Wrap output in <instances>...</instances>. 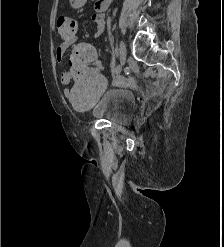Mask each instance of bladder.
I'll list each match as a JSON object with an SVG mask.
<instances>
[{"label": "bladder", "mask_w": 224, "mask_h": 247, "mask_svg": "<svg viewBox=\"0 0 224 247\" xmlns=\"http://www.w3.org/2000/svg\"><path fill=\"white\" fill-rule=\"evenodd\" d=\"M136 98L132 90L112 87L103 93L91 108L90 115L99 120L128 125L135 119Z\"/></svg>", "instance_id": "1"}]
</instances>
